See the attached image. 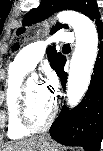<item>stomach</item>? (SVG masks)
Masks as SVG:
<instances>
[{"label":"stomach","mask_w":103,"mask_h":151,"mask_svg":"<svg viewBox=\"0 0 103 151\" xmlns=\"http://www.w3.org/2000/svg\"><path fill=\"white\" fill-rule=\"evenodd\" d=\"M34 151H60L57 144L52 142L49 137L41 136L38 138Z\"/></svg>","instance_id":"stomach-1"}]
</instances>
